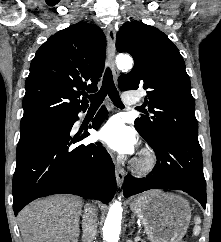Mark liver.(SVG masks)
<instances>
[{"mask_svg":"<svg viewBox=\"0 0 221 242\" xmlns=\"http://www.w3.org/2000/svg\"><path fill=\"white\" fill-rule=\"evenodd\" d=\"M83 201L55 196L35 201L19 213L23 242H77Z\"/></svg>","mask_w":221,"mask_h":242,"instance_id":"obj_1","label":"liver"}]
</instances>
